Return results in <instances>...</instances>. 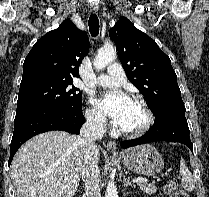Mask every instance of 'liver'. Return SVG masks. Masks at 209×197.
<instances>
[{
    "mask_svg": "<svg viewBox=\"0 0 209 197\" xmlns=\"http://www.w3.org/2000/svg\"><path fill=\"white\" fill-rule=\"evenodd\" d=\"M96 159L99 163V150ZM84 162L85 149L75 135L48 131L31 138L11 164L17 197H73Z\"/></svg>",
    "mask_w": 209,
    "mask_h": 197,
    "instance_id": "obj_1",
    "label": "liver"
}]
</instances>
